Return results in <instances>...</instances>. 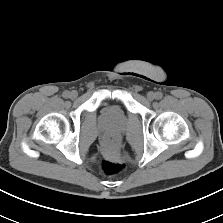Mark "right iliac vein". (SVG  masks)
I'll list each match as a JSON object with an SVG mask.
<instances>
[{
  "mask_svg": "<svg viewBox=\"0 0 223 223\" xmlns=\"http://www.w3.org/2000/svg\"><path fill=\"white\" fill-rule=\"evenodd\" d=\"M77 96H78V93H77L76 91H72V92L70 93V97H71L72 99H75Z\"/></svg>",
  "mask_w": 223,
  "mask_h": 223,
  "instance_id": "obj_1",
  "label": "right iliac vein"
}]
</instances>
